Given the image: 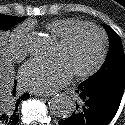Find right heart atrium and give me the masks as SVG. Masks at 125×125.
<instances>
[{"label":"right heart atrium","mask_w":125,"mask_h":125,"mask_svg":"<svg viewBox=\"0 0 125 125\" xmlns=\"http://www.w3.org/2000/svg\"><path fill=\"white\" fill-rule=\"evenodd\" d=\"M7 47L13 60H22L31 49L30 26L27 24L17 26L9 37Z\"/></svg>","instance_id":"obj_1"}]
</instances>
